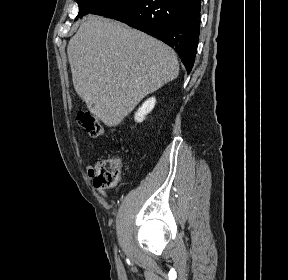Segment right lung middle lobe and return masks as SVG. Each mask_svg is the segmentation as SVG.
I'll return each instance as SVG.
<instances>
[{"instance_id": "right-lung-middle-lobe-1", "label": "right lung middle lobe", "mask_w": 288, "mask_h": 280, "mask_svg": "<svg viewBox=\"0 0 288 280\" xmlns=\"http://www.w3.org/2000/svg\"><path fill=\"white\" fill-rule=\"evenodd\" d=\"M79 6V13L76 17L82 18L84 15L91 13L95 9H97L102 4L110 1V0H76Z\"/></svg>"}]
</instances>
